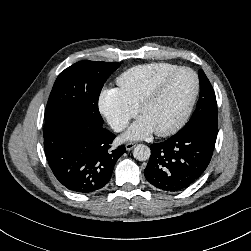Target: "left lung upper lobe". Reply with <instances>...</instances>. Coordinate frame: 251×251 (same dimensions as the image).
Returning a JSON list of instances; mask_svg holds the SVG:
<instances>
[{
    "mask_svg": "<svg viewBox=\"0 0 251 251\" xmlns=\"http://www.w3.org/2000/svg\"><path fill=\"white\" fill-rule=\"evenodd\" d=\"M200 96L196 109L188 123L180 130L185 131L198 125L217 128V102L211 83L202 69L199 70Z\"/></svg>",
    "mask_w": 251,
    "mask_h": 251,
    "instance_id": "left-lung-upper-lobe-1",
    "label": "left lung upper lobe"
}]
</instances>
